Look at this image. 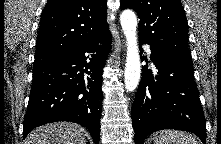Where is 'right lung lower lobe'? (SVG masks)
I'll return each instance as SVG.
<instances>
[{
	"label": "right lung lower lobe",
	"instance_id": "obj_1",
	"mask_svg": "<svg viewBox=\"0 0 221 144\" xmlns=\"http://www.w3.org/2000/svg\"><path fill=\"white\" fill-rule=\"evenodd\" d=\"M110 49L107 30L33 68L24 138L40 125L70 121L86 127L99 144L102 71Z\"/></svg>",
	"mask_w": 221,
	"mask_h": 144
}]
</instances>
